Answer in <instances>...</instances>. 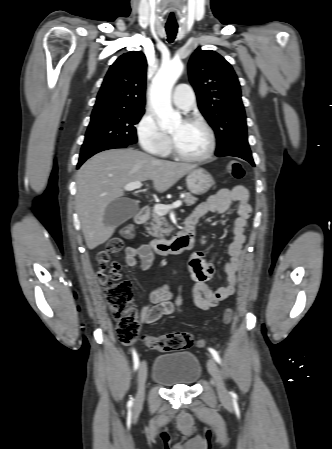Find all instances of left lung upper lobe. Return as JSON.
<instances>
[{"instance_id": "obj_1", "label": "left lung upper lobe", "mask_w": 332, "mask_h": 449, "mask_svg": "<svg viewBox=\"0 0 332 449\" xmlns=\"http://www.w3.org/2000/svg\"><path fill=\"white\" fill-rule=\"evenodd\" d=\"M198 107L217 138L216 154L251 153L238 78L218 53L197 48L188 64Z\"/></svg>"}]
</instances>
